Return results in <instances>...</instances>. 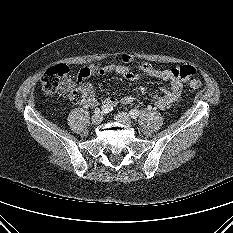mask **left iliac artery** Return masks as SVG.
Instances as JSON below:
<instances>
[{
  "label": "left iliac artery",
  "mask_w": 233,
  "mask_h": 233,
  "mask_svg": "<svg viewBox=\"0 0 233 233\" xmlns=\"http://www.w3.org/2000/svg\"><path fill=\"white\" fill-rule=\"evenodd\" d=\"M131 118L133 119H136L139 114H140V111L138 109H132L130 112H129Z\"/></svg>",
  "instance_id": "44dca946"
}]
</instances>
